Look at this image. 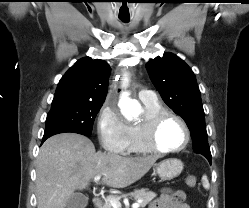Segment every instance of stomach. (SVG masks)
Wrapping results in <instances>:
<instances>
[{
	"instance_id": "1",
	"label": "stomach",
	"mask_w": 249,
	"mask_h": 208,
	"mask_svg": "<svg viewBox=\"0 0 249 208\" xmlns=\"http://www.w3.org/2000/svg\"><path fill=\"white\" fill-rule=\"evenodd\" d=\"M182 170L183 163L176 158L166 159L155 165V172L163 181L179 176Z\"/></svg>"
}]
</instances>
